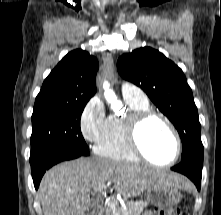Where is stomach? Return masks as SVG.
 Listing matches in <instances>:
<instances>
[{
  "label": "stomach",
  "instance_id": "obj_1",
  "mask_svg": "<svg viewBox=\"0 0 221 215\" xmlns=\"http://www.w3.org/2000/svg\"><path fill=\"white\" fill-rule=\"evenodd\" d=\"M146 201L159 207L177 205L182 196L179 188L168 184H155L145 192Z\"/></svg>",
  "mask_w": 221,
  "mask_h": 215
}]
</instances>
